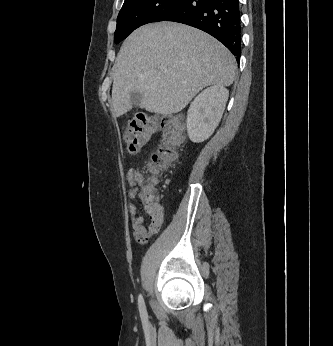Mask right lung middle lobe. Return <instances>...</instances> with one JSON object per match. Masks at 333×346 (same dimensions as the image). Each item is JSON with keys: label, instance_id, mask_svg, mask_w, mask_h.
Returning <instances> with one entry per match:
<instances>
[{"label": "right lung middle lobe", "instance_id": "obj_1", "mask_svg": "<svg viewBox=\"0 0 333 346\" xmlns=\"http://www.w3.org/2000/svg\"><path fill=\"white\" fill-rule=\"evenodd\" d=\"M183 0H125L118 18L115 43L124 40L141 25L164 21Z\"/></svg>", "mask_w": 333, "mask_h": 346}]
</instances>
